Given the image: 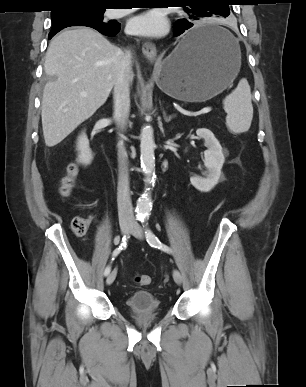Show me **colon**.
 Wrapping results in <instances>:
<instances>
[{
    "label": "colon",
    "mask_w": 306,
    "mask_h": 387,
    "mask_svg": "<svg viewBox=\"0 0 306 387\" xmlns=\"http://www.w3.org/2000/svg\"><path fill=\"white\" fill-rule=\"evenodd\" d=\"M78 173L79 167L77 163L73 162L67 166L65 174L60 181V194L62 197L67 198L71 195L76 185ZM71 228L75 235L83 236L88 231L89 222L86 218L77 216L73 218L71 222ZM134 282L138 286H146L151 283V278L149 275L136 274L134 276Z\"/></svg>",
    "instance_id": "1"
}]
</instances>
